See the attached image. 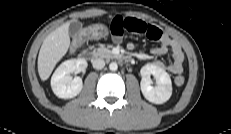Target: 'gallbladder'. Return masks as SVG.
Wrapping results in <instances>:
<instances>
[{"instance_id":"1","label":"gallbladder","mask_w":231,"mask_h":134,"mask_svg":"<svg viewBox=\"0 0 231 134\" xmlns=\"http://www.w3.org/2000/svg\"><path fill=\"white\" fill-rule=\"evenodd\" d=\"M82 24L79 21H73L70 23L69 26V33L71 35H75L79 32V30L81 29Z\"/></svg>"}]
</instances>
